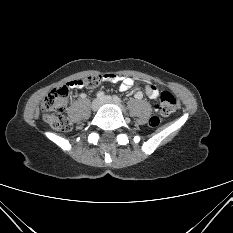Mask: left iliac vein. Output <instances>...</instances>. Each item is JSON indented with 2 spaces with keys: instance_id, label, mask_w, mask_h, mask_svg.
<instances>
[{
  "instance_id": "4c4485c4",
  "label": "left iliac vein",
  "mask_w": 233,
  "mask_h": 233,
  "mask_svg": "<svg viewBox=\"0 0 233 233\" xmlns=\"http://www.w3.org/2000/svg\"><path fill=\"white\" fill-rule=\"evenodd\" d=\"M102 102H103V103H107V104H116V105L119 106V104L116 103V102L112 99V97H110V96H105V97L102 99Z\"/></svg>"
}]
</instances>
